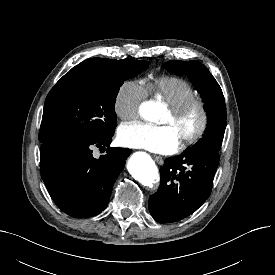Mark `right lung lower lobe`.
I'll list each match as a JSON object with an SVG mask.
<instances>
[{"instance_id":"1","label":"right lung lower lobe","mask_w":275,"mask_h":275,"mask_svg":"<svg viewBox=\"0 0 275 275\" xmlns=\"http://www.w3.org/2000/svg\"><path fill=\"white\" fill-rule=\"evenodd\" d=\"M112 136L41 146V177L55 204L66 214L86 218L106 208L113 185L131 154L128 148L109 147ZM94 146L104 150L107 146L106 154L93 157Z\"/></svg>"}]
</instances>
